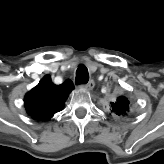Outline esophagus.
Listing matches in <instances>:
<instances>
[{
    "mask_svg": "<svg viewBox=\"0 0 164 164\" xmlns=\"http://www.w3.org/2000/svg\"><path fill=\"white\" fill-rule=\"evenodd\" d=\"M95 86V83L93 80H90L88 83L84 84L82 87L87 90V91H90L94 88Z\"/></svg>",
    "mask_w": 164,
    "mask_h": 164,
    "instance_id": "34e87169",
    "label": "esophagus"
}]
</instances>
